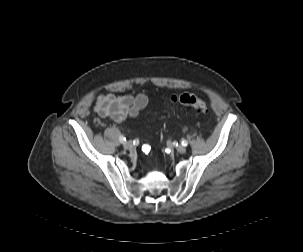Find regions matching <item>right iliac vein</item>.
I'll use <instances>...</instances> for the list:
<instances>
[{
  "label": "right iliac vein",
  "instance_id": "1",
  "mask_svg": "<svg viewBox=\"0 0 303 252\" xmlns=\"http://www.w3.org/2000/svg\"><path fill=\"white\" fill-rule=\"evenodd\" d=\"M123 146L125 149L130 150V149H132L133 144L131 141H126V142H124Z\"/></svg>",
  "mask_w": 303,
  "mask_h": 252
}]
</instances>
